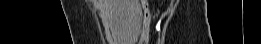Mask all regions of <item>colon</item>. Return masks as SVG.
Returning <instances> with one entry per match:
<instances>
[{
  "label": "colon",
  "mask_w": 261,
  "mask_h": 44,
  "mask_svg": "<svg viewBox=\"0 0 261 44\" xmlns=\"http://www.w3.org/2000/svg\"><path fill=\"white\" fill-rule=\"evenodd\" d=\"M142 4H143V12H144V18H143V23L145 24V22L147 21L148 19V16H147V8H146V1H141Z\"/></svg>",
  "instance_id": "colon-1"
}]
</instances>
